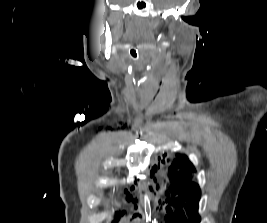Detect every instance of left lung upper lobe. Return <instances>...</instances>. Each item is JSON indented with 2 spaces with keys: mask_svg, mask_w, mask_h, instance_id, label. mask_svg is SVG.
<instances>
[{
  "mask_svg": "<svg viewBox=\"0 0 267 223\" xmlns=\"http://www.w3.org/2000/svg\"><path fill=\"white\" fill-rule=\"evenodd\" d=\"M196 171L185 154L177 156L169 168L168 206H164L162 214H177L179 221L185 222L184 214H191L193 220L199 222L198 202L201 191L197 183L191 181V172Z\"/></svg>",
  "mask_w": 267,
  "mask_h": 223,
  "instance_id": "left-lung-upper-lobe-1",
  "label": "left lung upper lobe"
}]
</instances>
